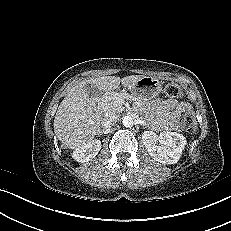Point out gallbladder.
Returning <instances> with one entry per match:
<instances>
[{
    "mask_svg": "<svg viewBox=\"0 0 231 231\" xmlns=\"http://www.w3.org/2000/svg\"><path fill=\"white\" fill-rule=\"evenodd\" d=\"M85 91L91 97H98L101 93L94 84H86Z\"/></svg>",
    "mask_w": 231,
    "mask_h": 231,
    "instance_id": "gallbladder-1",
    "label": "gallbladder"
}]
</instances>
